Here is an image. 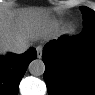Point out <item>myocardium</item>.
I'll list each match as a JSON object with an SVG mask.
<instances>
[{
    "label": "myocardium",
    "mask_w": 95,
    "mask_h": 95,
    "mask_svg": "<svg viewBox=\"0 0 95 95\" xmlns=\"http://www.w3.org/2000/svg\"><path fill=\"white\" fill-rule=\"evenodd\" d=\"M74 31H75V26L73 24L68 25L65 29L66 34H73Z\"/></svg>",
    "instance_id": "1"
}]
</instances>
